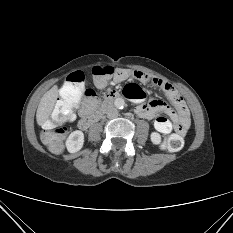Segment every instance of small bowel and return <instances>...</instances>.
Wrapping results in <instances>:
<instances>
[{"instance_id":"c3829d8e","label":"small bowel","mask_w":233,"mask_h":233,"mask_svg":"<svg viewBox=\"0 0 233 233\" xmlns=\"http://www.w3.org/2000/svg\"><path fill=\"white\" fill-rule=\"evenodd\" d=\"M129 79H134L159 89L170 103L168 104L161 99H152L149 102H145V94L141 88L136 84H128L125 87V94L135 103V111L138 116L154 120V127L159 133L168 134L172 130L180 135L186 133L190 126L189 111L174 86L157 77L124 68L116 69L111 84H119ZM95 105L96 102L93 103L85 99L79 109V115L82 118L89 116Z\"/></svg>"}]
</instances>
